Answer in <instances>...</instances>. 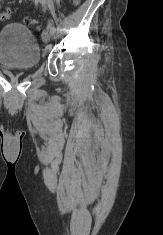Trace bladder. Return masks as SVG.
<instances>
[{
	"label": "bladder",
	"instance_id": "bladder-1",
	"mask_svg": "<svg viewBox=\"0 0 163 235\" xmlns=\"http://www.w3.org/2000/svg\"><path fill=\"white\" fill-rule=\"evenodd\" d=\"M41 51L32 31L21 23H10L0 30V65L10 68H34Z\"/></svg>",
	"mask_w": 163,
	"mask_h": 235
}]
</instances>
